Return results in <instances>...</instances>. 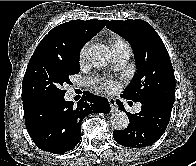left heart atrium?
Segmentation results:
<instances>
[{
	"instance_id": "obj_1",
	"label": "left heart atrium",
	"mask_w": 196,
	"mask_h": 166,
	"mask_svg": "<svg viewBox=\"0 0 196 166\" xmlns=\"http://www.w3.org/2000/svg\"><path fill=\"white\" fill-rule=\"evenodd\" d=\"M92 82L94 84H99L103 89L107 91H113L117 88V83L109 79L94 78L92 79Z\"/></svg>"
}]
</instances>
